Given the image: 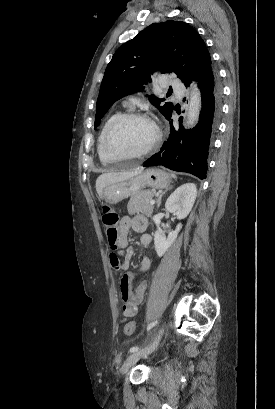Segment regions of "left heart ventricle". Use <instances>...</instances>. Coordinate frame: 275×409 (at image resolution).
<instances>
[{"label": "left heart ventricle", "instance_id": "b2bd125f", "mask_svg": "<svg viewBox=\"0 0 275 409\" xmlns=\"http://www.w3.org/2000/svg\"><path fill=\"white\" fill-rule=\"evenodd\" d=\"M151 134V128L145 122L126 120L114 130L106 151L108 155L118 157L139 150L147 144Z\"/></svg>", "mask_w": 275, "mask_h": 409}]
</instances>
